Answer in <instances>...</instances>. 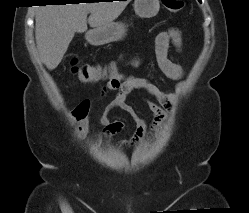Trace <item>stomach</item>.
Wrapping results in <instances>:
<instances>
[{
  "instance_id": "1",
  "label": "stomach",
  "mask_w": 249,
  "mask_h": 213,
  "mask_svg": "<svg viewBox=\"0 0 249 213\" xmlns=\"http://www.w3.org/2000/svg\"><path fill=\"white\" fill-rule=\"evenodd\" d=\"M133 7L139 17L151 18L159 12L160 3L159 0H135ZM126 31L127 29L122 22H111L89 31L86 34V39L92 45L99 46L123 39Z\"/></svg>"
}]
</instances>
